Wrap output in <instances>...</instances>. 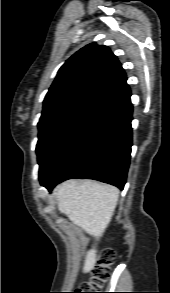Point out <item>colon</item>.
<instances>
[{
	"instance_id": "colon-1",
	"label": "colon",
	"mask_w": 170,
	"mask_h": 293,
	"mask_svg": "<svg viewBox=\"0 0 170 293\" xmlns=\"http://www.w3.org/2000/svg\"><path fill=\"white\" fill-rule=\"evenodd\" d=\"M116 253L112 249H106L100 255L91 269L89 280L83 282L75 292L72 293H97L109 278L110 268L114 263Z\"/></svg>"
}]
</instances>
